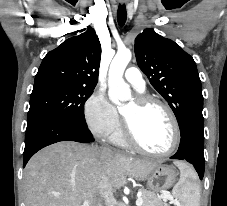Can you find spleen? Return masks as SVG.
<instances>
[{
  "mask_svg": "<svg viewBox=\"0 0 227 206\" xmlns=\"http://www.w3.org/2000/svg\"><path fill=\"white\" fill-rule=\"evenodd\" d=\"M175 164L180 169V179L173 188V196L180 201V206H199L200 187L189 180L196 179L194 171L187 169L183 163L176 162Z\"/></svg>",
  "mask_w": 227,
  "mask_h": 206,
  "instance_id": "obj_1",
  "label": "spleen"
}]
</instances>
